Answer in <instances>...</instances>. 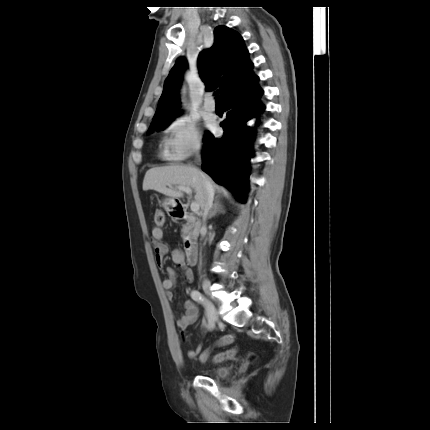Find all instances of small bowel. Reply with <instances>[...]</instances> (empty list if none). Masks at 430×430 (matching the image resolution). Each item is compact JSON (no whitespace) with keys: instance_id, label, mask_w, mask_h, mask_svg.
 I'll return each mask as SVG.
<instances>
[{"instance_id":"small-bowel-1","label":"small bowel","mask_w":430,"mask_h":430,"mask_svg":"<svg viewBox=\"0 0 430 430\" xmlns=\"http://www.w3.org/2000/svg\"><path fill=\"white\" fill-rule=\"evenodd\" d=\"M152 240L155 249V261L158 267H163L164 258L169 252L168 245L163 242V230L156 226L152 229ZM172 261L182 270L184 278L188 282H192L194 279L193 272L185 266L184 255L179 249H174L171 252ZM167 278H165L162 282V286L166 291V295L168 299L173 298V289L176 283L177 272L174 268L168 267L166 269ZM184 314L177 320V327L184 338L186 329L194 324L199 316V308L197 304L193 300H187L184 302ZM209 330V323L205 321L202 325V335H205ZM203 346L199 344L195 349L190 350L188 352V357L190 359H195L197 356L201 355L204 351H202Z\"/></svg>"}]
</instances>
